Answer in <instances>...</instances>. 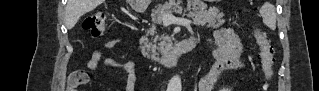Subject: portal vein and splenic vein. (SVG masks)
Here are the masks:
<instances>
[{"instance_id": "18ae733b", "label": "portal vein and splenic vein", "mask_w": 319, "mask_h": 91, "mask_svg": "<svg viewBox=\"0 0 319 91\" xmlns=\"http://www.w3.org/2000/svg\"><path fill=\"white\" fill-rule=\"evenodd\" d=\"M162 20L168 24H180V25H190L192 21L187 19L176 18L172 13H166L163 15Z\"/></svg>"}]
</instances>
